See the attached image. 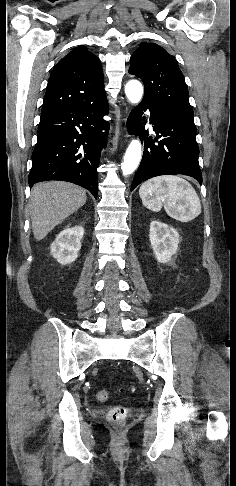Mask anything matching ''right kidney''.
<instances>
[{
	"label": "right kidney",
	"instance_id": "ca27d5eb",
	"mask_svg": "<svg viewBox=\"0 0 236 486\" xmlns=\"http://www.w3.org/2000/svg\"><path fill=\"white\" fill-rule=\"evenodd\" d=\"M83 234L82 226L68 227L61 231L50 247L53 257L62 265L73 263L81 249Z\"/></svg>",
	"mask_w": 236,
	"mask_h": 486
}]
</instances>
